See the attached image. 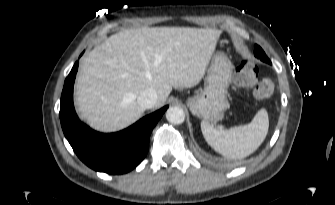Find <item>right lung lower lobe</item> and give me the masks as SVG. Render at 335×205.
<instances>
[{
	"mask_svg": "<svg viewBox=\"0 0 335 205\" xmlns=\"http://www.w3.org/2000/svg\"><path fill=\"white\" fill-rule=\"evenodd\" d=\"M77 70L78 61L67 76L61 95L59 115L65 137L76 155L90 168L108 174L129 172L147 154L150 134L168 106L123 131L96 132L80 122L74 110L73 86Z\"/></svg>",
	"mask_w": 335,
	"mask_h": 205,
	"instance_id": "1",
	"label": "right lung lower lobe"
}]
</instances>
